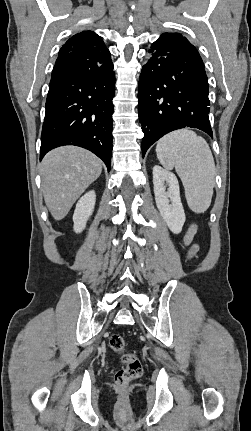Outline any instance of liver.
<instances>
[{"label": "liver", "mask_w": 251, "mask_h": 431, "mask_svg": "<svg viewBox=\"0 0 251 431\" xmlns=\"http://www.w3.org/2000/svg\"><path fill=\"white\" fill-rule=\"evenodd\" d=\"M101 172V160L86 149L65 146L47 153L40 168L41 186L53 218L63 219Z\"/></svg>", "instance_id": "obj_1"}]
</instances>
